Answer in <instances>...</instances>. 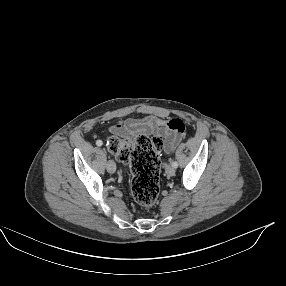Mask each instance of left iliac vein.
<instances>
[{
	"instance_id": "left-iliac-vein-1",
	"label": "left iliac vein",
	"mask_w": 286,
	"mask_h": 286,
	"mask_svg": "<svg viewBox=\"0 0 286 286\" xmlns=\"http://www.w3.org/2000/svg\"><path fill=\"white\" fill-rule=\"evenodd\" d=\"M165 172L168 176H173L175 174V168L171 165H166Z\"/></svg>"
}]
</instances>
